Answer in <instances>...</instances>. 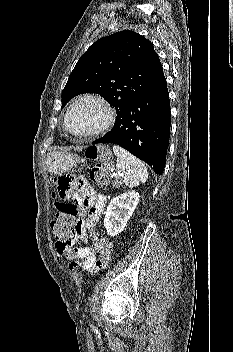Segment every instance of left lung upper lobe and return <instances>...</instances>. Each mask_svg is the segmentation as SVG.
<instances>
[{
  "label": "left lung upper lobe",
  "instance_id": "1",
  "mask_svg": "<svg viewBox=\"0 0 233 352\" xmlns=\"http://www.w3.org/2000/svg\"><path fill=\"white\" fill-rule=\"evenodd\" d=\"M153 44L134 31L102 37L80 57L62 91V108L82 93H98L117 116L163 76Z\"/></svg>",
  "mask_w": 233,
  "mask_h": 352
}]
</instances>
